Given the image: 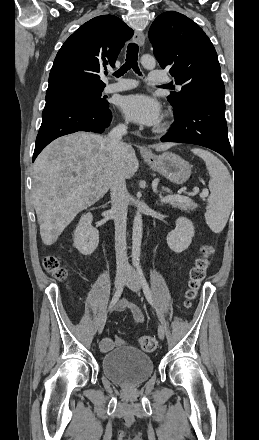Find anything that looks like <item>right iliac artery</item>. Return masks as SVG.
<instances>
[{
	"label": "right iliac artery",
	"mask_w": 259,
	"mask_h": 440,
	"mask_svg": "<svg viewBox=\"0 0 259 440\" xmlns=\"http://www.w3.org/2000/svg\"><path fill=\"white\" fill-rule=\"evenodd\" d=\"M123 288H124V283H123V284L120 286V288L115 292V294H114V296H113V298H112V300H111V302H110V305H109L108 310H111V309L114 307V305L117 303V301L119 300V298H120V296H121V294H122Z\"/></svg>",
	"instance_id": "right-iliac-artery-1"
}]
</instances>
